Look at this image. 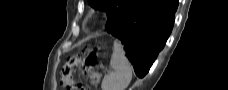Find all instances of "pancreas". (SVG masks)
<instances>
[{"mask_svg": "<svg viewBox=\"0 0 228 90\" xmlns=\"http://www.w3.org/2000/svg\"><path fill=\"white\" fill-rule=\"evenodd\" d=\"M95 82H97V81H95V80H92V83H95Z\"/></svg>", "mask_w": 228, "mask_h": 90, "instance_id": "obj_1", "label": "pancreas"}]
</instances>
